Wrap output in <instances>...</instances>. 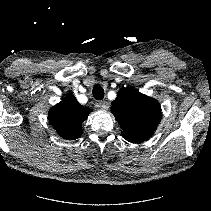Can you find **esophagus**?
<instances>
[{
  "instance_id": "34e87169",
  "label": "esophagus",
  "mask_w": 211,
  "mask_h": 211,
  "mask_svg": "<svg viewBox=\"0 0 211 211\" xmlns=\"http://www.w3.org/2000/svg\"><path fill=\"white\" fill-rule=\"evenodd\" d=\"M98 106L104 111L109 109V103L107 101H100Z\"/></svg>"
}]
</instances>
